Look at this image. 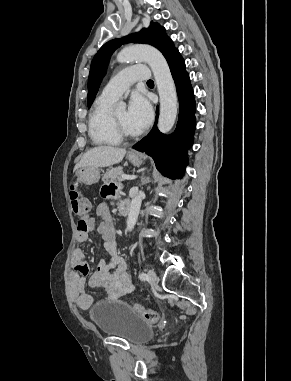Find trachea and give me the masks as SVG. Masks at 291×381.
<instances>
[{"label":"trachea","mask_w":291,"mask_h":381,"mask_svg":"<svg viewBox=\"0 0 291 381\" xmlns=\"http://www.w3.org/2000/svg\"><path fill=\"white\" fill-rule=\"evenodd\" d=\"M147 84H154L153 80H148Z\"/></svg>","instance_id":"3493384b"}]
</instances>
